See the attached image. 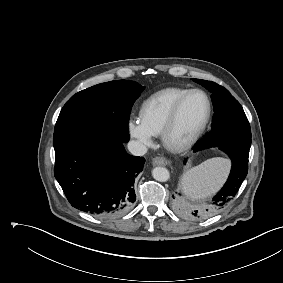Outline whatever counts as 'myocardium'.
<instances>
[{"instance_id":"1","label":"myocardium","mask_w":283,"mask_h":283,"mask_svg":"<svg viewBox=\"0 0 283 283\" xmlns=\"http://www.w3.org/2000/svg\"><path fill=\"white\" fill-rule=\"evenodd\" d=\"M201 94L206 101V114L204 116V119L201 123V125L198 127V129L193 133L192 136H190L188 139L183 140V141H173L172 140V132L173 129L175 127L180 109L184 103V101L187 99L188 96H190L191 94ZM211 113H212V104H211V100L208 96V94L201 90V89H189L187 90L174 104L169 117L162 129L161 132V139L163 142V145L170 151L172 152H182L185 151L187 149H189L190 147H192L197 141L198 139L201 137V135L203 134V132L205 131L210 117H211Z\"/></svg>"}]
</instances>
